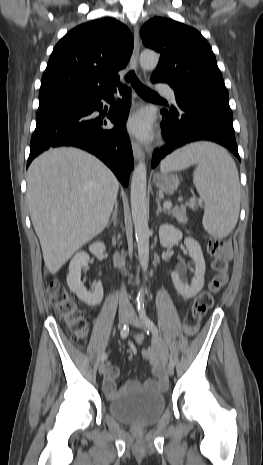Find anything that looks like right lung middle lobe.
<instances>
[{"instance_id":"right-lung-middle-lobe-1","label":"right lung middle lobe","mask_w":263,"mask_h":465,"mask_svg":"<svg viewBox=\"0 0 263 465\" xmlns=\"http://www.w3.org/2000/svg\"><path fill=\"white\" fill-rule=\"evenodd\" d=\"M79 98L80 97H61V98H54V99L39 101L38 110L51 107V106H55V105H59V104L70 103L75 100H78Z\"/></svg>"}]
</instances>
